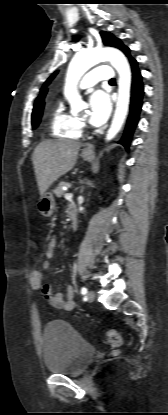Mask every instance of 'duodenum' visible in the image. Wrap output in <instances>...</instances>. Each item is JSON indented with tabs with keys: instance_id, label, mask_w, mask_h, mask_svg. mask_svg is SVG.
I'll list each match as a JSON object with an SVG mask.
<instances>
[{
	"instance_id": "410a0bca",
	"label": "duodenum",
	"mask_w": 168,
	"mask_h": 415,
	"mask_svg": "<svg viewBox=\"0 0 168 415\" xmlns=\"http://www.w3.org/2000/svg\"><path fill=\"white\" fill-rule=\"evenodd\" d=\"M68 214H69V219H70V224H71V230L75 231L79 224V219H78L76 208L74 206H69Z\"/></svg>"
}]
</instances>
